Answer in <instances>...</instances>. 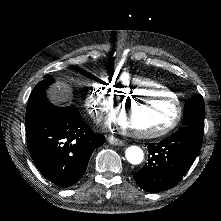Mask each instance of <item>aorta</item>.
I'll return each instance as SVG.
<instances>
[{
    "label": "aorta",
    "instance_id": "aorta-1",
    "mask_svg": "<svg viewBox=\"0 0 221 221\" xmlns=\"http://www.w3.org/2000/svg\"><path fill=\"white\" fill-rule=\"evenodd\" d=\"M125 157L130 164L138 165L144 159L143 150L138 146H129L125 151Z\"/></svg>",
    "mask_w": 221,
    "mask_h": 221
}]
</instances>
